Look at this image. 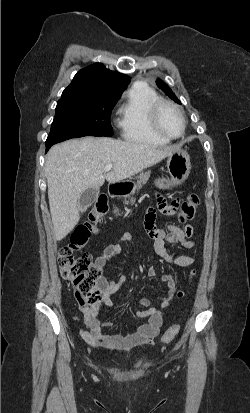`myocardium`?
Returning <instances> with one entry per match:
<instances>
[{
	"label": "myocardium",
	"mask_w": 250,
	"mask_h": 413,
	"mask_svg": "<svg viewBox=\"0 0 250 413\" xmlns=\"http://www.w3.org/2000/svg\"><path fill=\"white\" fill-rule=\"evenodd\" d=\"M165 106L170 107L173 110H175L181 118L182 131L177 136H172V135H169V134L165 133L160 127L159 114H160L161 109ZM150 126H151L152 131L157 136H159L160 138L165 139L167 141H171V140L179 139L180 137L183 136V134L185 133V130H186V119H185V116H184L182 110L175 103H173L169 100L159 99L151 107V110H150Z\"/></svg>",
	"instance_id": "myocardium-1"
}]
</instances>
